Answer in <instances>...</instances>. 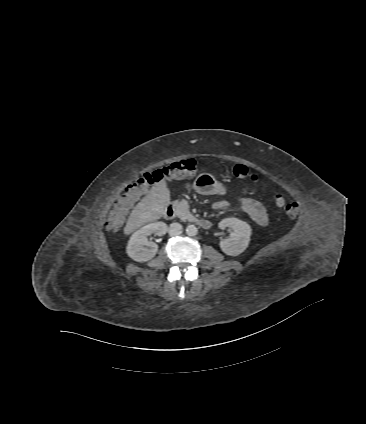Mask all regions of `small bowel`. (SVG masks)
<instances>
[{"instance_id": "c3829d8e", "label": "small bowel", "mask_w": 366, "mask_h": 424, "mask_svg": "<svg viewBox=\"0 0 366 424\" xmlns=\"http://www.w3.org/2000/svg\"><path fill=\"white\" fill-rule=\"evenodd\" d=\"M238 204L247 213V215L258 225L266 226L269 222L267 211L263 204L252 198H241ZM228 202L226 200H219L213 204L215 210H223L227 208Z\"/></svg>"}]
</instances>
